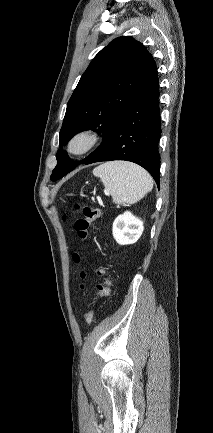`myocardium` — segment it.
I'll return each mask as SVG.
<instances>
[{
  "instance_id": "f54148a6",
  "label": "myocardium",
  "mask_w": 213,
  "mask_h": 433,
  "mask_svg": "<svg viewBox=\"0 0 213 433\" xmlns=\"http://www.w3.org/2000/svg\"><path fill=\"white\" fill-rule=\"evenodd\" d=\"M98 132L92 128H82L69 138L67 142V151L73 156H83L89 153L99 142ZM80 147L76 148V144Z\"/></svg>"
}]
</instances>
